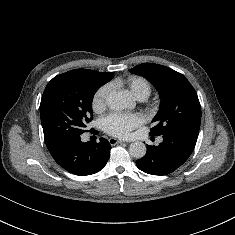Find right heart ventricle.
Here are the masks:
<instances>
[{"mask_svg": "<svg viewBox=\"0 0 235 235\" xmlns=\"http://www.w3.org/2000/svg\"><path fill=\"white\" fill-rule=\"evenodd\" d=\"M111 86L124 87L139 100L146 99L151 93V85L145 78L137 75L113 81Z\"/></svg>", "mask_w": 235, "mask_h": 235, "instance_id": "obj_1", "label": "right heart ventricle"}]
</instances>
